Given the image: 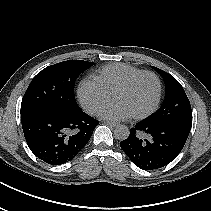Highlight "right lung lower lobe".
<instances>
[{"label": "right lung lower lobe", "mask_w": 211, "mask_h": 211, "mask_svg": "<svg viewBox=\"0 0 211 211\" xmlns=\"http://www.w3.org/2000/svg\"><path fill=\"white\" fill-rule=\"evenodd\" d=\"M33 154L51 165L71 161L88 143L98 121L78 111H42L21 115Z\"/></svg>", "instance_id": "98d812e1"}]
</instances>
